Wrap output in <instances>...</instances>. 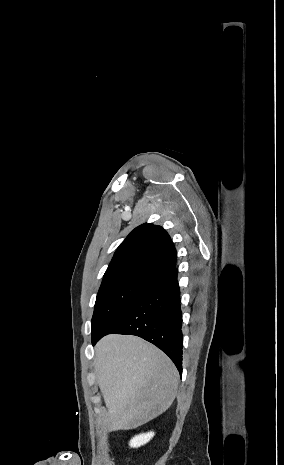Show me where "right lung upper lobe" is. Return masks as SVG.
I'll return each mask as SVG.
<instances>
[{
  "label": "right lung upper lobe",
  "mask_w": 284,
  "mask_h": 465,
  "mask_svg": "<svg viewBox=\"0 0 284 465\" xmlns=\"http://www.w3.org/2000/svg\"><path fill=\"white\" fill-rule=\"evenodd\" d=\"M177 253L168 233L160 226L135 228L116 250L104 278L137 276L157 279L176 266Z\"/></svg>",
  "instance_id": "1"
}]
</instances>
